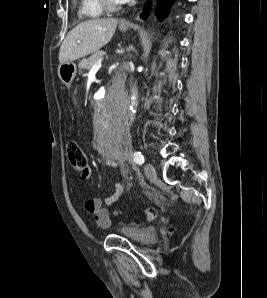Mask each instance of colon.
<instances>
[{
	"label": "colon",
	"instance_id": "colon-1",
	"mask_svg": "<svg viewBox=\"0 0 267 298\" xmlns=\"http://www.w3.org/2000/svg\"><path fill=\"white\" fill-rule=\"evenodd\" d=\"M66 153L71 166L83 174L87 173L88 161L85 152L80 144L75 140H69L66 144ZM142 217L146 221H152L156 218L157 212L154 208H148L142 212ZM170 232L174 231V227L169 228Z\"/></svg>",
	"mask_w": 267,
	"mask_h": 298
}]
</instances>
